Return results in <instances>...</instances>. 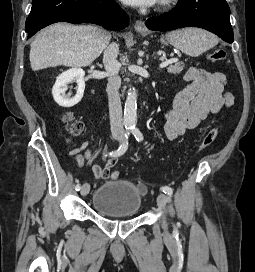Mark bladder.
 Listing matches in <instances>:
<instances>
[{
  "label": "bladder",
  "instance_id": "31cf9c89",
  "mask_svg": "<svg viewBox=\"0 0 255 272\" xmlns=\"http://www.w3.org/2000/svg\"><path fill=\"white\" fill-rule=\"evenodd\" d=\"M92 205L104 216H135L142 206V194L131 181H107L95 190Z\"/></svg>",
  "mask_w": 255,
  "mask_h": 272
}]
</instances>
